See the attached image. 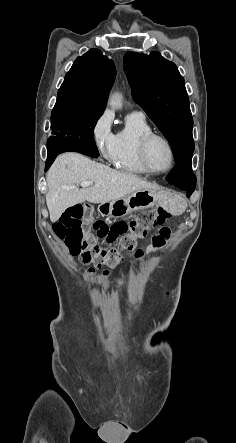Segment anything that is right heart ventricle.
<instances>
[{
  "mask_svg": "<svg viewBox=\"0 0 236 443\" xmlns=\"http://www.w3.org/2000/svg\"><path fill=\"white\" fill-rule=\"evenodd\" d=\"M152 132L145 116L129 114L124 127L115 135V155L112 159L114 166L124 172L143 175L148 172L142 166L138 145L141 137Z\"/></svg>",
  "mask_w": 236,
  "mask_h": 443,
  "instance_id": "right-heart-ventricle-1",
  "label": "right heart ventricle"
}]
</instances>
